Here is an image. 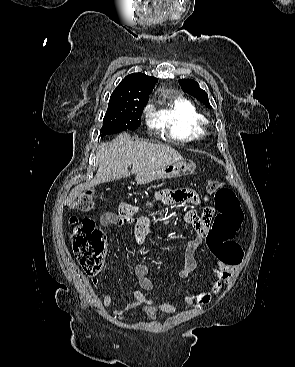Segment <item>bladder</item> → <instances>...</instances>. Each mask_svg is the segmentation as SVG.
<instances>
[{"instance_id": "1", "label": "bladder", "mask_w": 295, "mask_h": 367, "mask_svg": "<svg viewBox=\"0 0 295 367\" xmlns=\"http://www.w3.org/2000/svg\"><path fill=\"white\" fill-rule=\"evenodd\" d=\"M157 307L155 305H148L144 308V316L148 318L155 317L157 313Z\"/></svg>"}]
</instances>
